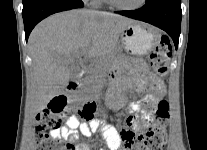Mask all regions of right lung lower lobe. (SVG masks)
<instances>
[{"label":"right lung lower lobe","mask_w":207,"mask_h":150,"mask_svg":"<svg viewBox=\"0 0 207 150\" xmlns=\"http://www.w3.org/2000/svg\"><path fill=\"white\" fill-rule=\"evenodd\" d=\"M81 0H24L23 21L26 41L35 25L47 16L56 12L82 8Z\"/></svg>","instance_id":"1"}]
</instances>
